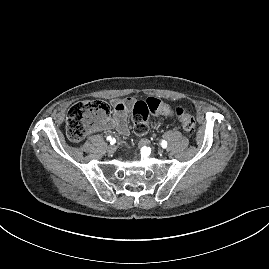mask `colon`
Listing matches in <instances>:
<instances>
[{
  "label": "colon",
  "mask_w": 269,
  "mask_h": 269,
  "mask_svg": "<svg viewBox=\"0 0 269 269\" xmlns=\"http://www.w3.org/2000/svg\"><path fill=\"white\" fill-rule=\"evenodd\" d=\"M110 109L101 100H85L74 104L66 117L67 136L72 141L82 140L89 132L99 128ZM150 114L174 115L181 127L189 135H194L196 122L190 111L183 107L171 108L156 98L138 101L133 106L132 119L136 134L143 135L148 130Z\"/></svg>",
  "instance_id": "1"
}]
</instances>
